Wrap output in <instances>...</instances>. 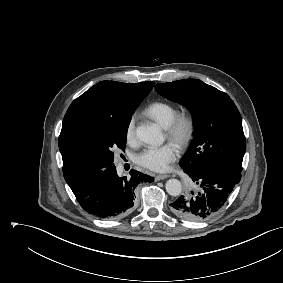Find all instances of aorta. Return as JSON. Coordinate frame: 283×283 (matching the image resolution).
Returning a JSON list of instances; mask_svg holds the SVG:
<instances>
[{
    "label": "aorta",
    "mask_w": 283,
    "mask_h": 283,
    "mask_svg": "<svg viewBox=\"0 0 283 283\" xmlns=\"http://www.w3.org/2000/svg\"><path fill=\"white\" fill-rule=\"evenodd\" d=\"M136 136L144 143L151 145H161L164 141L160 128L155 124L138 126ZM166 191L171 196H178L182 191V184L177 179H169L166 182Z\"/></svg>",
    "instance_id": "762f6f07"
}]
</instances>
